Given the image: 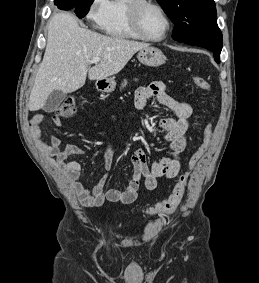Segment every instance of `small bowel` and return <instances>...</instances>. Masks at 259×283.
Listing matches in <instances>:
<instances>
[{"instance_id": "obj_1", "label": "small bowel", "mask_w": 259, "mask_h": 283, "mask_svg": "<svg viewBox=\"0 0 259 283\" xmlns=\"http://www.w3.org/2000/svg\"><path fill=\"white\" fill-rule=\"evenodd\" d=\"M152 98H155L160 104L169 108L174 115V117L161 118L158 122L159 127L165 132L164 139L168 143L170 156L153 162L149 168L145 152L140 148L135 149L132 154L134 173L127 186L122 190H106L107 175L103 176L93 187L84 185L80 180L82 174L81 165L78 162H67L66 160L71 155H84L85 150L76 145H68L62 148L61 140L58 137H52L49 143L44 142L40 136L39 125L46 118L45 114L38 113L33 115L28 121V129L42 151L49 156L54 166L64 175L70 188L84 206L98 207L106 201L129 204L135 201L137 192L142 184L148 190H153L156 188L159 178L171 179L176 177L181 168L180 156L186 148V132L192 115L191 106L170 96L165 91L162 83L153 82L138 88L136 91V111L143 110L147 102ZM51 122L56 126L61 124L60 119L55 115L51 116ZM99 134L106 137L103 131H100ZM115 135L107 138L104 150L105 167L108 171L113 165Z\"/></svg>"}]
</instances>
